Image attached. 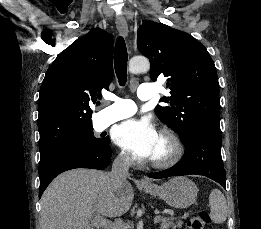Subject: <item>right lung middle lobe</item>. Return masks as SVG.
<instances>
[{
    "instance_id": "right-lung-middle-lobe-1",
    "label": "right lung middle lobe",
    "mask_w": 261,
    "mask_h": 229,
    "mask_svg": "<svg viewBox=\"0 0 261 229\" xmlns=\"http://www.w3.org/2000/svg\"><path fill=\"white\" fill-rule=\"evenodd\" d=\"M110 143V139L108 137L105 138H96L94 137L93 130L81 135L65 144L59 145L54 148L40 150V160L56 155L59 153L65 152H92V151H102L104 150Z\"/></svg>"
}]
</instances>
